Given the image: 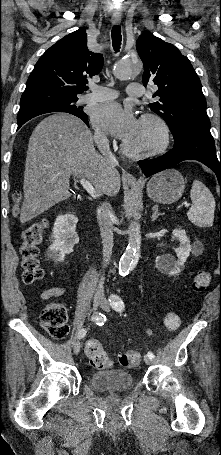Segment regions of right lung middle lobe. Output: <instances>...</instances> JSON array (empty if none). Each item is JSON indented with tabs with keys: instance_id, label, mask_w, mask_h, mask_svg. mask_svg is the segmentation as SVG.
<instances>
[{
	"instance_id": "obj_1",
	"label": "right lung middle lobe",
	"mask_w": 221,
	"mask_h": 455,
	"mask_svg": "<svg viewBox=\"0 0 221 455\" xmlns=\"http://www.w3.org/2000/svg\"><path fill=\"white\" fill-rule=\"evenodd\" d=\"M77 100L78 98H70L60 100L58 102L44 106L20 109L18 112L17 120L32 114H44L49 112H67L81 118L84 122H87L88 116L83 112L82 107H77L75 105V102Z\"/></svg>"
}]
</instances>
